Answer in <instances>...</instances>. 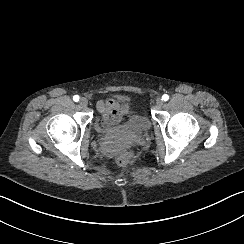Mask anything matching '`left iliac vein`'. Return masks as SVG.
I'll return each mask as SVG.
<instances>
[{"label": "left iliac vein", "mask_w": 244, "mask_h": 244, "mask_svg": "<svg viewBox=\"0 0 244 244\" xmlns=\"http://www.w3.org/2000/svg\"><path fill=\"white\" fill-rule=\"evenodd\" d=\"M163 104H164L163 99H162V98H157V100H156V105H157L158 107H162Z\"/></svg>", "instance_id": "4c4485c4"}]
</instances>
